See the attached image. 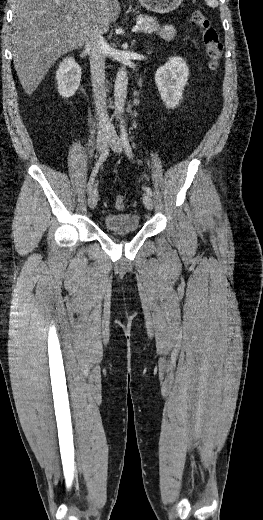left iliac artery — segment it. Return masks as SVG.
<instances>
[{
	"instance_id": "44dca946",
	"label": "left iliac artery",
	"mask_w": 263,
	"mask_h": 520,
	"mask_svg": "<svg viewBox=\"0 0 263 520\" xmlns=\"http://www.w3.org/2000/svg\"><path fill=\"white\" fill-rule=\"evenodd\" d=\"M120 131H121V140H122V143H123V147H124L125 153L127 154V156L129 158L133 159L131 146H130V143H129V140H128L126 128H125V125L123 124V121H121V123H120ZM145 191H146V193L148 195L152 196V190H151L150 187H146Z\"/></svg>"
}]
</instances>
